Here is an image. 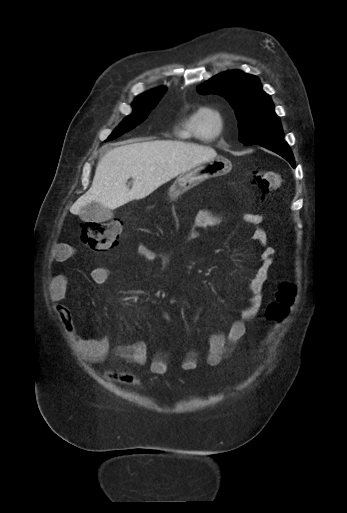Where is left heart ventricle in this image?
Masks as SVG:
<instances>
[{
    "label": "left heart ventricle",
    "instance_id": "obj_1",
    "mask_svg": "<svg viewBox=\"0 0 347 513\" xmlns=\"http://www.w3.org/2000/svg\"><path fill=\"white\" fill-rule=\"evenodd\" d=\"M201 126L204 134H209L216 128V122L210 116H205L202 118Z\"/></svg>",
    "mask_w": 347,
    "mask_h": 513
}]
</instances>
